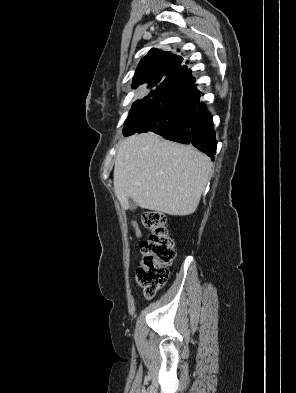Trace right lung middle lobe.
I'll list each match as a JSON object with an SVG mask.
<instances>
[{
    "label": "right lung middle lobe",
    "instance_id": "obj_1",
    "mask_svg": "<svg viewBox=\"0 0 296 393\" xmlns=\"http://www.w3.org/2000/svg\"><path fill=\"white\" fill-rule=\"evenodd\" d=\"M163 80L164 79H162V80L158 79V80H154V81L149 82L148 87L150 88V87L156 86V89L152 90L148 96L144 97V99L138 100L133 104L132 109L130 110L129 116H128L127 120L125 121L124 125H127L129 122H131L141 112V110L151 100V97H153L158 86L162 83Z\"/></svg>",
    "mask_w": 296,
    "mask_h": 393
}]
</instances>
